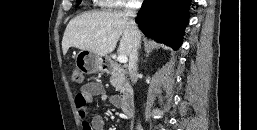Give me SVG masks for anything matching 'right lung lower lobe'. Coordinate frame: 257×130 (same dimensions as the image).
I'll return each instance as SVG.
<instances>
[{
    "label": "right lung lower lobe",
    "instance_id": "98d812e1",
    "mask_svg": "<svg viewBox=\"0 0 257 130\" xmlns=\"http://www.w3.org/2000/svg\"><path fill=\"white\" fill-rule=\"evenodd\" d=\"M189 2L190 0H144L135 19L136 23L147 37L178 49L189 18Z\"/></svg>",
    "mask_w": 257,
    "mask_h": 130
}]
</instances>
